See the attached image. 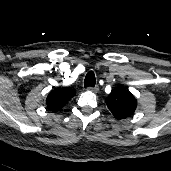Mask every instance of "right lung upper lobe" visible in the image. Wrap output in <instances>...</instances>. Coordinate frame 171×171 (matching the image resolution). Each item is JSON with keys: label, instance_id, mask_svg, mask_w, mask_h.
<instances>
[{"label": "right lung upper lobe", "instance_id": "cb5924a9", "mask_svg": "<svg viewBox=\"0 0 171 171\" xmlns=\"http://www.w3.org/2000/svg\"><path fill=\"white\" fill-rule=\"evenodd\" d=\"M75 94L76 92L69 87L52 90L46 99L48 109L53 112L59 111Z\"/></svg>", "mask_w": 171, "mask_h": 171}]
</instances>
